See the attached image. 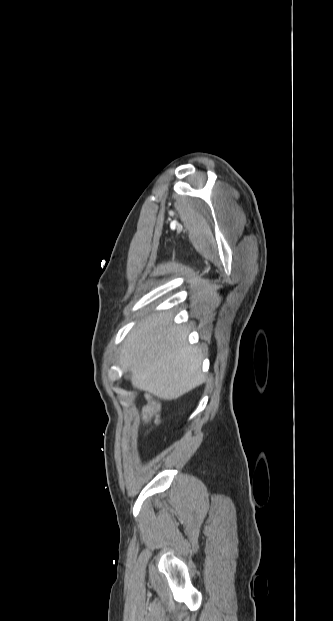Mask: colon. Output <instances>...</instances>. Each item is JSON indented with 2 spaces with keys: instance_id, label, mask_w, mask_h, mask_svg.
Listing matches in <instances>:
<instances>
[{
  "instance_id": "1",
  "label": "colon",
  "mask_w": 333,
  "mask_h": 621,
  "mask_svg": "<svg viewBox=\"0 0 333 621\" xmlns=\"http://www.w3.org/2000/svg\"><path fill=\"white\" fill-rule=\"evenodd\" d=\"M160 420V404L154 399L150 398L143 413V428L147 429L152 426H156Z\"/></svg>"
}]
</instances>
